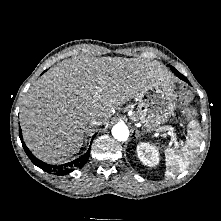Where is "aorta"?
<instances>
[{"label":"aorta","mask_w":221,"mask_h":221,"mask_svg":"<svg viewBox=\"0 0 221 221\" xmlns=\"http://www.w3.org/2000/svg\"><path fill=\"white\" fill-rule=\"evenodd\" d=\"M112 135L119 141H125L129 137V129L124 123H118L112 128Z\"/></svg>","instance_id":"obj_1"}]
</instances>
